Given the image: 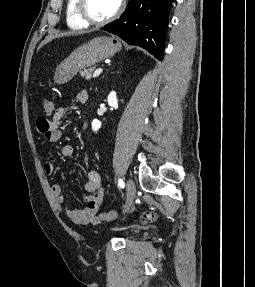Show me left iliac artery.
<instances>
[{"label":"left iliac artery","instance_id":"1","mask_svg":"<svg viewBox=\"0 0 255 287\" xmlns=\"http://www.w3.org/2000/svg\"><path fill=\"white\" fill-rule=\"evenodd\" d=\"M119 186H120L121 188H124L125 184H124V182H123L122 180H119Z\"/></svg>","mask_w":255,"mask_h":287}]
</instances>
